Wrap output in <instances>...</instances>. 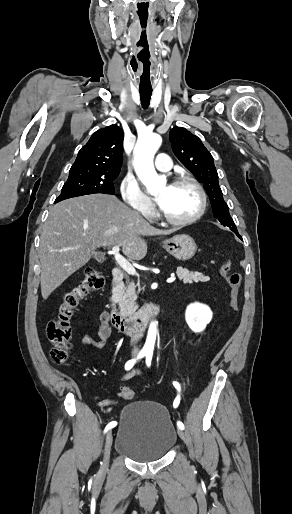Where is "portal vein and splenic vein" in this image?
Returning <instances> with one entry per match:
<instances>
[{
	"instance_id": "1",
	"label": "portal vein and splenic vein",
	"mask_w": 292,
	"mask_h": 514,
	"mask_svg": "<svg viewBox=\"0 0 292 514\" xmlns=\"http://www.w3.org/2000/svg\"><path fill=\"white\" fill-rule=\"evenodd\" d=\"M119 246H114V248H112V252H110V254H113L116 262H118L119 266H121V268H123V270H125V272H127V274H131V276H135L136 274V270L135 268H133L132 264H129V262H127V260H125V258H123V256H121V254H119ZM174 280H176V278H174V276H172V278H168L167 282L168 284H170V282H174Z\"/></svg>"
}]
</instances>
